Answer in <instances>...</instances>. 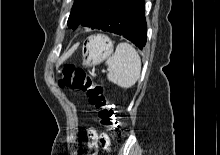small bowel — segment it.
<instances>
[{
  "mask_svg": "<svg viewBox=\"0 0 220 155\" xmlns=\"http://www.w3.org/2000/svg\"><path fill=\"white\" fill-rule=\"evenodd\" d=\"M89 140H90V145L94 144V142L97 140L98 136L97 133L94 129H91L89 131Z\"/></svg>",
  "mask_w": 220,
  "mask_h": 155,
  "instance_id": "obj_1",
  "label": "small bowel"
}]
</instances>
